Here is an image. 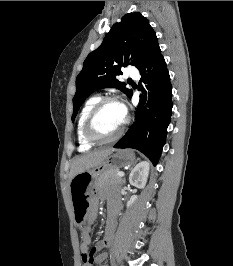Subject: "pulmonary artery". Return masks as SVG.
<instances>
[{
  "mask_svg": "<svg viewBox=\"0 0 233 266\" xmlns=\"http://www.w3.org/2000/svg\"><path fill=\"white\" fill-rule=\"evenodd\" d=\"M128 76L133 78V79H138L139 78V73L137 70H130L128 72Z\"/></svg>",
  "mask_w": 233,
  "mask_h": 266,
  "instance_id": "e3ab8cb5",
  "label": "pulmonary artery"
}]
</instances>
